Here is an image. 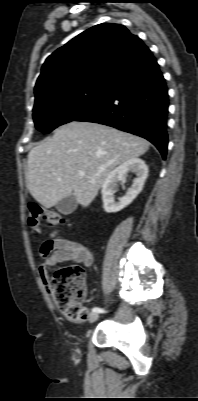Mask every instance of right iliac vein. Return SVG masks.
<instances>
[{"label": "right iliac vein", "mask_w": 198, "mask_h": 401, "mask_svg": "<svg viewBox=\"0 0 198 401\" xmlns=\"http://www.w3.org/2000/svg\"><path fill=\"white\" fill-rule=\"evenodd\" d=\"M98 317H99L98 313L96 312L91 313L89 316V322L90 323L95 322L98 319Z\"/></svg>", "instance_id": "right-iliac-vein-1"}]
</instances>
